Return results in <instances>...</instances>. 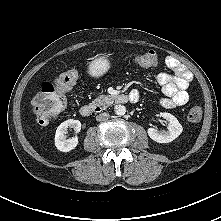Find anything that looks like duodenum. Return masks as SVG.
<instances>
[{
	"mask_svg": "<svg viewBox=\"0 0 221 221\" xmlns=\"http://www.w3.org/2000/svg\"><path fill=\"white\" fill-rule=\"evenodd\" d=\"M139 100V96L137 94H131V95H125L121 94L118 95L116 98V102L120 104H124L127 102H137ZM102 109L99 106H94L90 104L83 105L79 112L82 116L88 117L92 115L93 113H99Z\"/></svg>",
	"mask_w": 221,
	"mask_h": 221,
	"instance_id": "duodenum-1",
	"label": "duodenum"
}]
</instances>
